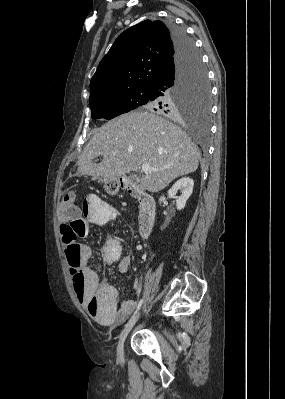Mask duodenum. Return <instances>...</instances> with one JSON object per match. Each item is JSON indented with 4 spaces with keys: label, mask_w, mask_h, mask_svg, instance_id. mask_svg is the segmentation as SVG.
Returning a JSON list of instances; mask_svg holds the SVG:
<instances>
[{
    "label": "duodenum",
    "mask_w": 285,
    "mask_h": 399,
    "mask_svg": "<svg viewBox=\"0 0 285 399\" xmlns=\"http://www.w3.org/2000/svg\"><path fill=\"white\" fill-rule=\"evenodd\" d=\"M127 191L134 196L139 205V232L142 238H147L155 225L156 221V206L154 199L144 193L141 188L136 185H129Z\"/></svg>",
    "instance_id": "1"
}]
</instances>
